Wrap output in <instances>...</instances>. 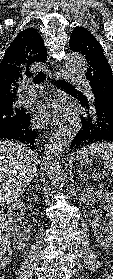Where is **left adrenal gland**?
<instances>
[{"label":"left adrenal gland","mask_w":113,"mask_h":279,"mask_svg":"<svg viewBox=\"0 0 113 279\" xmlns=\"http://www.w3.org/2000/svg\"><path fill=\"white\" fill-rule=\"evenodd\" d=\"M82 176H83L82 172H81V171H79V177H82Z\"/></svg>","instance_id":"left-adrenal-gland-1"}]
</instances>
